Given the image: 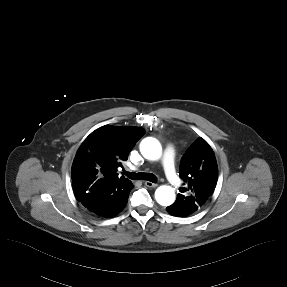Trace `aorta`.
<instances>
[{
    "label": "aorta",
    "mask_w": 287,
    "mask_h": 287,
    "mask_svg": "<svg viewBox=\"0 0 287 287\" xmlns=\"http://www.w3.org/2000/svg\"><path fill=\"white\" fill-rule=\"evenodd\" d=\"M140 152L148 160H158L162 155V147L157 139L147 137L140 143ZM175 198L174 189L170 186L162 185L155 191V199L162 206H170Z\"/></svg>",
    "instance_id": "aorta-1"
}]
</instances>
